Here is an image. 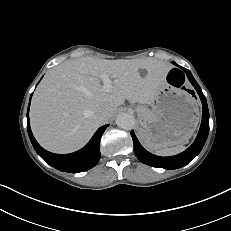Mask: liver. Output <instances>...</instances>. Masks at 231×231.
<instances>
[{"label":"liver","instance_id":"liver-1","mask_svg":"<svg viewBox=\"0 0 231 231\" xmlns=\"http://www.w3.org/2000/svg\"><path fill=\"white\" fill-rule=\"evenodd\" d=\"M140 69L147 74L141 76ZM171 66L146 58L105 60L83 57L52 68L38 85L31 102L30 124L39 144L55 153L83 147L125 100L151 104ZM113 78L107 92L100 76ZM106 110L107 120L98 112Z\"/></svg>","mask_w":231,"mask_h":231}]
</instances>
